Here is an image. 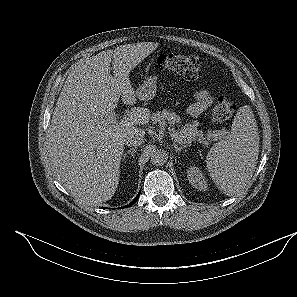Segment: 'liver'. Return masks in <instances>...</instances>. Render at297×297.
Wrapping results in <instances>:
<instances>
[{"mask_svg":"<svg viewBox=\"0 0 297 297\" xmlns=\"http://www.w3.org/2000/svg\"><path fill=\"white\" fill-rule=\"evenodd\" d=\"M158 43L126 44L81 62L68 75L48 130V152L58 180L85 205L112 198L120 177L125 137L147 124L149 111L134 107L119 122L110 123L119 98L134 105L137 95L129 73ZM113 75L110 74V65Z\"/></svg>","mask_w":297,"mask_h":297,"instance_id":"obj_1","label":"liver"}]
</instances>
